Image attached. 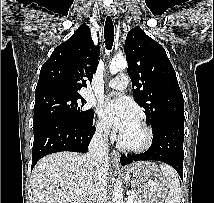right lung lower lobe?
Here are the masks:
<instances>
[{
	"label": "right lung lower lobe",
	"instance_id": "1",
	"mask_svg": "<svg viewBox=\"0 0 214 203\" xmlns=\"http://www.w3.org/2000/svg\"><path fill=\"white\" fill-rule=\"evenodd\" d=\"M32 167L44 156L61 151L87 152L95 133L93 119L81 124L61 119H49L33 125Z\"/></svg>",
	"mask_w": 214,
	"mask_h": 203
}]
</instances>
